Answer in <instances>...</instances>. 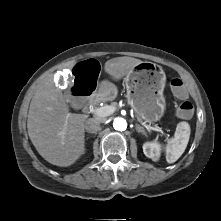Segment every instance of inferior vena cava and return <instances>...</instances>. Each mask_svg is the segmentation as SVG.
Returning <instances> with one entry per match:
<instances>
[{"instance_id": "inferior-vena-cava-1", "label": "inferior vena cava", "mask_w": 221, "mask_h": 221, "mask_svg": "<svg viewBox=\"0 0 221 221\" xmlns=\"http://www.w3.org/2000/svg\"><path fill=\"white\" fill-rule=\"evenodd\" d=\"M85 130L88 133H96L100 130V121L94 118H89L85 122Z\"/></svg>"}]
</instances>
